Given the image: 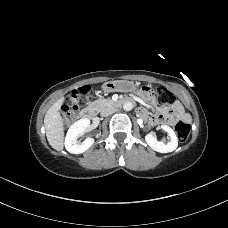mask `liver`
Instances as JSON below:
<instances>
[{
  "mask_svg": "<svg viewBox=\"0 0 228 228\" xmlns=\"http://www.w3.org/2000/svg\"><path fill=\"white\" fill-rule=\"evenodd\" d=\"M64 101V97L55 102L46 112L44 126L49 144L57 151L63 150L64 127L59 109Z\"/></svg>",
  "mask_w": 228,
  "mask_h": 228,
  "instance_id": "1",
  "label": "liver"
}]
</instances>
